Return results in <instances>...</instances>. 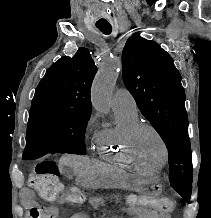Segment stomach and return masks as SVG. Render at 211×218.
Here are the masks:
<instances>
[{
    "mask_svg": "<svg viewBox=\"0 0 211 218\" xmlns=\"http://www.w3.org/2000/svg\"><path fill=\"white\" fill-rule=\"evenodd\" d=\"M80 185L87 188H124L139 193L155 194L159 180L156 177H140L131 174H82L78 175Z\"/></svg>",
    "mask_w": 211,
    "mask_h": 218,
    "instance_id": "obj_1",
    "label": "stomach"
}]
</instances>
